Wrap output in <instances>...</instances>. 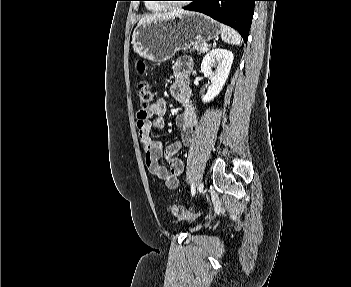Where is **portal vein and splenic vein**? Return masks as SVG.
Instances as JSON below:
<instances>
[{
  "label": "portal vein and splenic vein",
  "instance_id": "18ae733b",
  "mask_svg": "<svg viewBox=\"0 0 351 287\" xmlns=\"http://www.w3.org/2000/svg\"><path fill=\"white\" fill-rule=\"evenodd\" d=\"M203 50H204V51H207V50H208V48H207V45H206V44L204 45Z\"/></svg>",
  "mask_w": 351,
  "mask_h": 287
}]
</instances>
